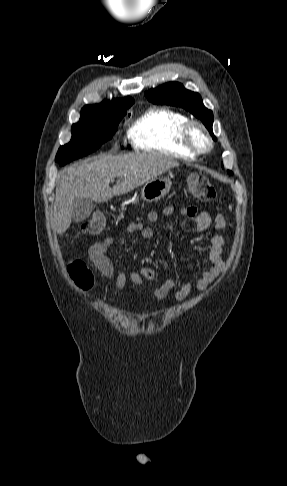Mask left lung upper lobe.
Listing matches in <instances>:
<instances>
[{
	"instance_id": "obj_1",
	"label": "left lung upper lobe",
	"mask_w": 287,
	"mask_h": 486,
	"mask_svg": "<svg viewBox=\"0 0 287 486\" xmlns=\"http://www.w3.org/2000/svg\"><path fill=\"white\" fill-rule=\"evenodd\" d=\"M145 95L154 104L178 106L188 110L203 122L212 134L213 139H216L212 131L213 113L203 105L198 93L185 89L180 83L170 82L156 89L148 90ZM227 172L232 174V171L228 170Z\"/></svg>"
}]
</instances>
